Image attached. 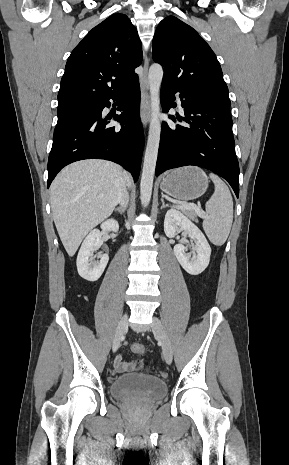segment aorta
Wrapping results in <instances>:
<instances>
[{"mask_svg": "<svg viewBox=\"0 0 289 465\" xmlns=\"http://www.w3.org/2000/svg\"><path fill=\"white\" fill-rule=\"evenodd\" d=\"M163 79V69L159 64L151 65L148 73V82L151 101V120L147 146L145 150L144 163L140 183V199L144 206L150 202L153 187V178L158 157L160 143L161 123L159 120L160 98L159 91Z\"/></svg>", "mask_w": 289, "mask_h": 465, "instance_id": "1", "label": "aorta"}]
</instances>
